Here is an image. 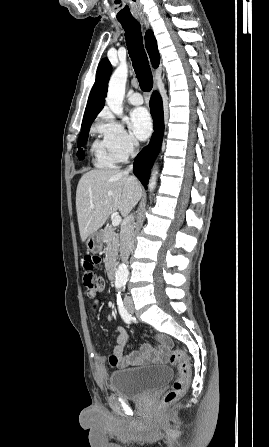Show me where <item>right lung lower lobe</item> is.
I'll return each mask as SVG.
<instances>
[{
	"label": "right lung lower lobe",
	"instance_id": "1",
	"mask_svg": "<svg viewBox=\"0 0 269 447\" xmlns=\"http://www.w3.org/2000/svg\"><path fill=\"white\" fill-rule=\"evenodd\" d=\"M150 109L154 120L155 132L150 144L143 148L135 158L133 171L145 188L150 177L151 167L159 153L164 131L162 99L156 91L151 96Z\"/></svg>",
	"mask_w": 269,
	"mask_h": 447
}]
</instances>
